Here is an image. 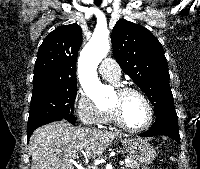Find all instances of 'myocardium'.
I'll return each mask as SVG.
<instances>
[{"mask_svg":"<svg viewBox=\"0 0 200 169\" xmlns=\"http://www.w3.org/2000/svg\"><path fill=\"white\" fill-rule=\"evenodd\" d=\"M116 93L122 97L124 95L133 93L138 96H140L143 101L145 102L147 109H148V120L147 122L138 128H134L129 126L123 119L122 113H121V108L119 105H111L109 106V112L112 116L113 121L121 128L130 131V132H143L147 130L153 123L154 120V109L152 106L151 101L149 100L148 96L140 89L133 87V86H120L116 89Z\"/></svg>","mask_w":200,"mask_h":169,"instance_id":"1","label":"myocardium"}]
</instances>
